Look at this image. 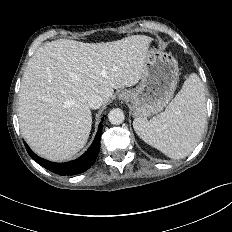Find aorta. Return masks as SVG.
Wrapping results in <instances>:
<instances>
[{"mask_svg": "<svg viewBox=\"0 0 232 232\" xmlns=\"http://www.w3.org/2000/svg\"><path fill=\"white\" fill-rule=\"evenodd\" d=\"M108 119L111 124L120 125L124 122L125 115L121 109L115 108L110 110L108 114Z\"/></svg>", "mask_w": 232, "mask_h": 232, "instance_id": "1", "label": "aorta"}]
</instances>
